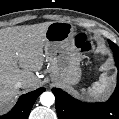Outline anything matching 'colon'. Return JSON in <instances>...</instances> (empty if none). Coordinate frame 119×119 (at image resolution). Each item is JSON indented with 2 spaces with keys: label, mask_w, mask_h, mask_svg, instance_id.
Here are the masks:
<instances>
[{
  "label": "colon",
  "mask_w": 119,
  "mask_h": 119,
  "mask_svg": "<svg viewBox=\"0 0 119 119\" xmlns=\"http://www.w3.org/2000/svg\"><path fill=\"white\" fill-rule=\"evenodd\" d=\"M74 43L83 53H87L91 49V45L87 42L86 37L82 34H77L74 37Z\"/></svg>",
  "instance_id": "obj_1"
}]
</instances>
